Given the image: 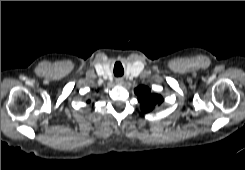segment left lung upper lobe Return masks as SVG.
Returning <instances> with one entry per match:
<instances>
[{"mask_svg":"<svg viewBox=\"0 0 245 170\" xmlns=\"http://www.w3.org/2000/svg\"><path fill=\"white\" fill-rule=\"evenodd\" d=\"M135 94L138 96L141 110L144 113L151 112L156 105H160L163 102L161 95L152 94L150 89L146 86L137 87L135 89Z\"/></svg>","mask_w":245,"mask_h":170,"instance_id":"left-lung-upper-lobe-1","label":"left lung upper lobe"}]
</instances>
